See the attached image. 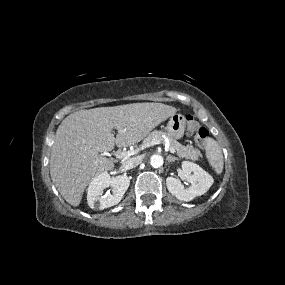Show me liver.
Instances as JSON below:
<instances>
[{"mask_svg":"<svg viewBox=\"0 0 285 285\" xmlns=\"http://www.w3.org/2000/svg\"><path fill=\"white\" fill-rule=\"evenodd\" d=\"M176 112L166 104L145 102L68 115L56 131L50 157L51 179L62 197L78 206L90 181L114 168V163L100 153L111 151L115 144L128 147L140 142Z\"/></svg>","mask_w":285,"mask_h":285,"instance_id":"1","label":"liver"}]
</instances>
